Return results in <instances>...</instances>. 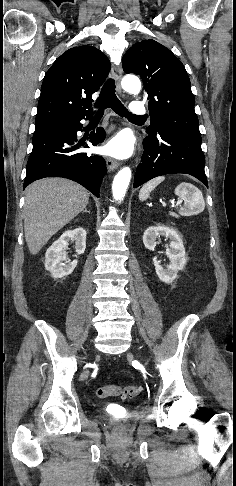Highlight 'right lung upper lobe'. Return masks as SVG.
I'll return each instance as SVG.
<instances>
[{
	"label": "right lung upper lobe",
	"mask_w": 236,
	"mask_h": 486,
	"mask_svg": "<svg viewBox=\"0 0 236 486\" xmlns=\"http://www.w3.org/2000/svg\"><path fill=\"white\" fill-rule=\"evenodd\" d=\"M109 71L108 58L95 47L83 45L64 52L45 74L36 125L73 114L91 113L92 94L100 88Z\"/></svg>",
	"instance_id": "right-lung-upper-lobe-1"
}]
</instances>
